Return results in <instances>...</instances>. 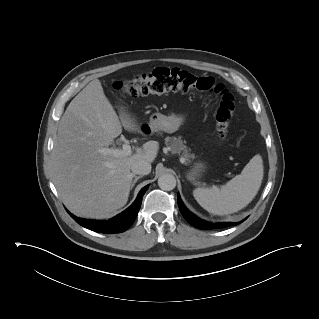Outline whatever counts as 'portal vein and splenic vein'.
<instances>
[{"mask_svg": "<svg viewBox=\"0 0 319 319\" xmlns=\"http://www.w3.org/2000/svg\"><path fill=\"white\" fill-rule=\"evenodd\" d=\"M100 152L106 155H112L114 157H125L131 155L132 149L129 143L125 142L122 146V149L102 148Z\"/></svg>", "mask_w": 319, "mask_h": 319, "instance_id": "1", "label": "portal vein and splenic vein"}]
</instances>
